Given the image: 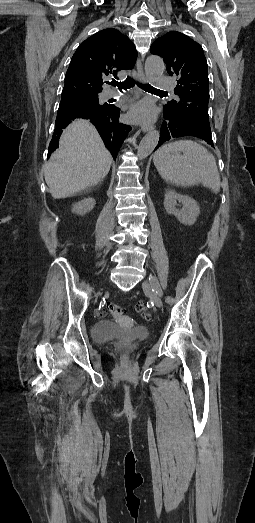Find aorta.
<instances>
[{
  "label": "aorta",
  "mask_w": 255,
  "mask_h": 523,
  "mask_svg": "<svg viewBox=\"0 0 255 523\" xmlns=\"http://www.w3.org/2000/svg\"><path fill=\"white\" fill-rule=\"evenodd\" d=\"M165 70L164 61L155 55H151L147 58L145 63V74L147 79L151 83H155L163 74ZM160 133L157 130L148 132L141 140L138 146V157L139 159H145L148 157L158 144Z\"/></svg>",
  "instance_id": "obj_1"
}]
</instances>
